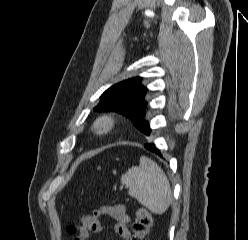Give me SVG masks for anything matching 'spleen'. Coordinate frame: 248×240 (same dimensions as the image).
I'll return each mask as SVG.
<instances>
[{
	"label": "spleen",
	"instance_id": "spleen-1",
	"mask_svg": "<svg viewBox=\"0 0 248 240\" xmlns=\"http://www.w3.org/2000/svg\"><path fill=\"white\" fill-rule=\"evenodd\" d=\"M121 182L128 194L147 207L154 214H163L172 202L170 183L153 160L142 156L140 165L132 167L121 176Z\"/></svg>",
	"mask_w": 248,
	"mask_h": 240
}]
</instances>
